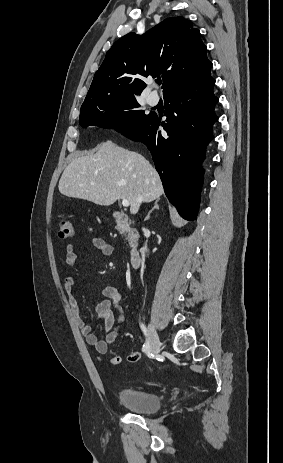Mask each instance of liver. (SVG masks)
Returning a JSON list of instances; mask_svg holds the SVG:
<instances>
[{
	"mask_svg": "<svg viewBox=\"0 0 283 463\" xmlns=\"http://www.w3.org/2000/svg\"><path fill=\"white\" fill-rule=\"evenodd\" d=\"M58 188L67 197L102 206L127 199L133 215L142 202H151L163 194L159 174L145 157L109 141L98 145L96 153L69 163Z\"/></svg>",
	"mask_w": 283,
	"mask_h": 463,
	"instance_id": "1",
	"label": "liver"
}]
</instances>
